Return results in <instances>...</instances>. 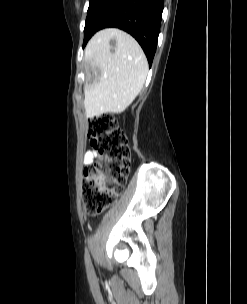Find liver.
<instances>
[{
	"instance_id": "6515ba94",
	"label": "liver",
	"mask_w": 247,
	"mask_h": 304,
	"mask_svg": "<svg viewBox=\"0 0 247 304\" xmlns=\"http://www.w3.org/2000/svg\"><path fill=\"white\" fill-rule=\"evenodd\" d=\"M113 38L114 51L110 45ZM84 57L96 76L84 88L86 118L123 112L139 94L147 76L148 63L140 45L119 29H104L90 39Z\"/></svg>"
}]
</instances>
